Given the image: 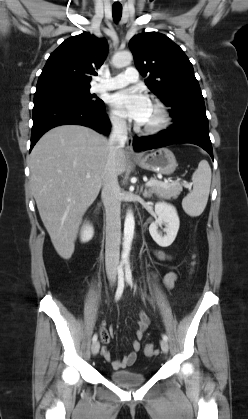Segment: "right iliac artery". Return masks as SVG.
Here are the masks:
<instances>
[{"instance_id": "1", "label": "right iliac artery", "mask_w": 248, "mask_h": 419, "mask_svg": "<svg viewBox=\"0 0 248 419\" xmlns=\"http://www.w3.org/2000/svg\"><path fill=\"white\" fill-rule=\"evenodd\" d=\"M123 290H124V272H123L122 265H120L118 267V287H117L116 294H115V299L116 300L120 299V297L123 293ZM97 338H98L97 334H94V336L92 338V341L93 342L97 341Z\"/></svg>"}]
</instances>
